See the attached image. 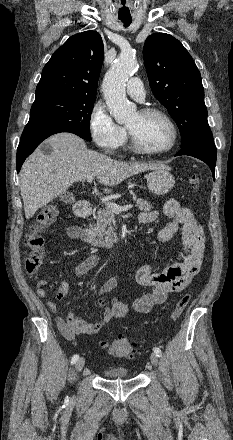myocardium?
I'll use <instances>...</instances> for the list:
<instances>
[{
    "label": "myocardium",
    "mask_w": 233,
    "mask_h": 440,
    "mask_svg": "<svg viewBox=\"0 0 233 440\" xmlns=\"http://www.w3.org/2000/svg\"><path fill=\"white\" fill-rule=\"evenodd\" d=\"M138 112L141 115H145V116L158 115V116L162 117L171 128L172 139H171L170 144L167 147L160 149V150H150V149H147L146 147H144L140 143V141L138 140L136 135L129 128H127V132L130 137L132 149L139 154L147 155V156H159V155H163V154L170 152L176 146L177 141H178V129H177L175 122L170 117V115L168 113H166L164 110L156 108V107H145V108L139 110Z\"/></svg>",
    "instance_id": "myocardium-1"
}]
</instances>
